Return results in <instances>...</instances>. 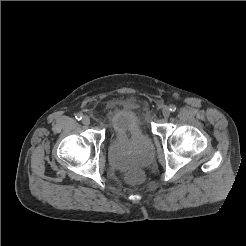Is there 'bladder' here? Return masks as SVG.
Segmentation results:
<instances>
[{
	"label": "bladder",
	"instance_id": "obj_1",
	"mask_svg": "<svg viewBox=\"0 0 246 246\" xmlns=\"http://www.w3.org/2000/svg\"><path fill=\"white\" fill-rule=\"evenodd\" d=\"M110 126L115 139L147 136L146 124L142 114L132 108H124L114 112L110 119ZM153 156V148L148 147L131 155L112 151L109 159L114 167L124 170L133 166H146L152 161Z\"/></svg>",
	"mask_w": 246,
	"mask_h": 246
}]
</instances>
